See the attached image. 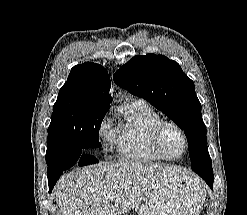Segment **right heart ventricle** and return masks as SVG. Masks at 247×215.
<instances>
[{
    "label": "right heart ventricle",
    "instance_id": "e07e8e85",
    "mask_svg": "<svg viewBox=\"0 0 247 215\" xmlns=\"http://www.w3.org/2000/svg\"><path fill=\"white\" fill-rule=\"evenodd\" d=\"M122 116L109 139L119 158L135 163L165 160L156 153L151 139L153 127L162 120L160 115L145 101L134 100L124 105Z\"/></svg>",
    "mask_w": 247,
    "mask_h": 215
}]
</instances>
